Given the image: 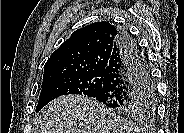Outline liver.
Instances as JSON below:
<instances>
[{"label": "liver", "mask_w": 184, "mask_h": 133, "mask_svg": "<svg viewBox=\"0 0 184 133\" xmlns=\"http://www.w3.org/2000/svg\"><path fill=\"white\" fill-rule=\"evenodd\" d=\"M39 133H132L142 131L107 110L95 99L61 96L45 106L38 117Z\"/></svg>", "instance_id": "6515ba94"}]
</instances>
